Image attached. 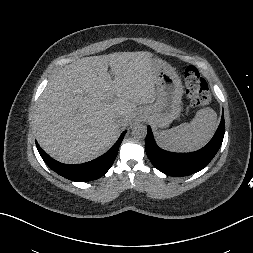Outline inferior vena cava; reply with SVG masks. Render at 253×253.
<instances>
[{
  "mask_svg": "<svg viewBox=\"0 0 253 253\" xmlns=\"http://www.w3.org/2000/svg\"><path fill=\"white\" fill-rule=\"evenodd\" d=\"M114 123H115V126L116 128H124L125 125H126V120L124 118H122L121 116H116L114 118Z\"/></svg>",
  "mask_w": 253,
  "mask_h": 253,
  "instance_id": "obj_1",
  "label": "inferior vena cava"
}]
</instances>
